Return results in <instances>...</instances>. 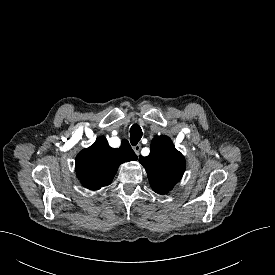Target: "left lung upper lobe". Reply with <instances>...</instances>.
<instances>
[{
    "label": "left lung upper lobe",
    "mask_w": 275,
    "mask_h": 275,
    "mask_svg": "<svg viewBox=\"0 0 275 275\" xmlns=\"http://www.w3.org/2000/svg\"><path fill=\"white\" fill-rule=\"evenodd\" d=\"M140 163L146 169L149 183L158 194L168 193L182 178L185 171V159L176 150L167 136H156L147 157L140 156Z\"/></svg>",
    "instance_id": "left-lung-upper-lobe-1"
}]
</instances>
